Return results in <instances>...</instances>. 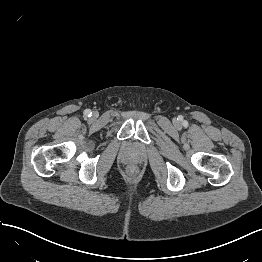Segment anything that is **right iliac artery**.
Wrapping results in <instances>:
<instances>
[{"mask_svg": "<svg viewBox=\"0 0 262 262\" xmlns=\"http://www.w3.org/2000/svg\"><path fill=\"white\" fill-rule=\"evenodd\" d=\"M91 114H92V112H91V110H89V109H86V110L84 111V115H85L86 117H91Z\"/></svg>", "mask_w": 262, "mask_h": 262, "instance_id": "obj_1", "label": "right iliac artery"}]
</instances>
